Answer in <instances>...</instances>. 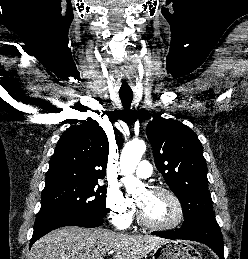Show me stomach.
Returning <instances> with one entry per match:
<instances>
[{
  "instance_id": "1",
  "label": "stomach",
  "mask_w": 248,
  "mask_h": 259,
  "mask_svg": "<svg viewBox=\"0 0 248 259\" xmlns=\"http://www.w3.org/2000/svg\"><path fill=\"white\" fill-rule=\"evenodd\" d=\"M151 255L152 259H202L197 249L182 241L161 243Z\"/></svg>"
}]
</instances>
